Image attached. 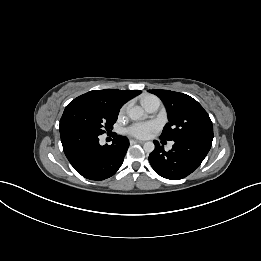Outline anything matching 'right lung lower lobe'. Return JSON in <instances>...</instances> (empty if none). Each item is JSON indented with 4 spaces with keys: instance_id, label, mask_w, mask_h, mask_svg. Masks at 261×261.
Returning a JSON list of instances; mask_svg holds the SVG:
<instances>
[{
    "instance_id": "right-lung-lower-lobe-1",
    "label": "right lung lower lobe",
    "mask_w": 261,
    "mask_h": 261,
    "mask_svg": "<svg viewBox=\"0 0 261 261\" xmlns=\"http://www.w3.org/2000/svg\"><path fill=\"white\" fill-rule=\"evenodd\" d=\"M64 153L74 169L90 180H104L121 167L129 147L126 137L117 135L111 145L101 146L99 134L81 129H60Z\"/></svg>"
}]
</instances>
